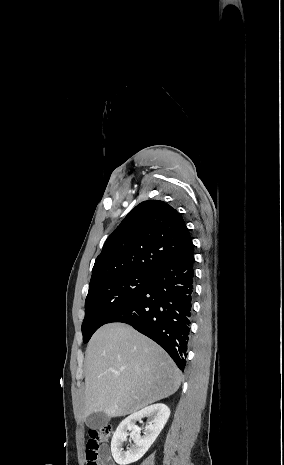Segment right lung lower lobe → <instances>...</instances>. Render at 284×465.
Here are the masks:
<instances>
[{"label": "right lung lower lobe", "instance_id": "obj_1", "mask_svg": "<svg viewBox=\"0 0 284 465\" xmlns=\"http://www.w3.org/2000/svg\"><path fill=\"white\" fill-rule=\"evenodd\" d=\"M193 245L158 270L146 287L107 323L122 322L158 343L184 370L194 298Z\"/></svg>", "mask_w": 284, "mask_h": 465}]
</instances>
